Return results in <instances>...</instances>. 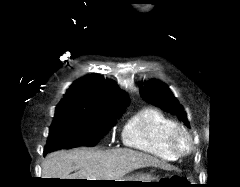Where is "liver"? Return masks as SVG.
I'll return each instance as SVG.
<instances>
[{"label": "liver", "instance_id": "liver-1", "mask_svg": "<svg viewBox=\"0 0 240 187\" xmlns=\"http://www.w3.org/2000/svg\"><path fill=\"white\" fill-rule=\"evenodd\" d=\"M167 166L157 158L130 149L98 150L76 148L48 154L42 166L43 178L118 180L143 167ZM73 171L75 173L71 174Z\"/></svg>", "mask_w": 240, "mask_h": 187}]
</instances>
